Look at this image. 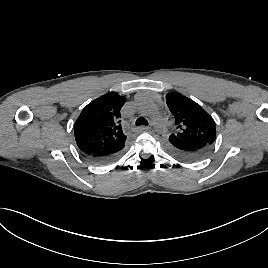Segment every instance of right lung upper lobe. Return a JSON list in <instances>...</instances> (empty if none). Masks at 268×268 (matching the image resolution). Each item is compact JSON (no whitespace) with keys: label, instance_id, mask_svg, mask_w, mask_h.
I'll return each mask as SVG.
<instances>
[{"label":"right lung upper lobe","instance_id":"cb5924a9","mask_svg":"<svg viewBox=\"0 0 268 268\" xmlns=\"http://www.w3.org/2000/svg\"><path fill=\"white\" fill-rule=\"evenodd\" d=\"M126 99L109 92L90 102L74 125L75 139L86 154L105 153L124 146L126 136L120 124V110Z\"/></svg>","mask_w":268,"mask_h":268}]
</instances>
